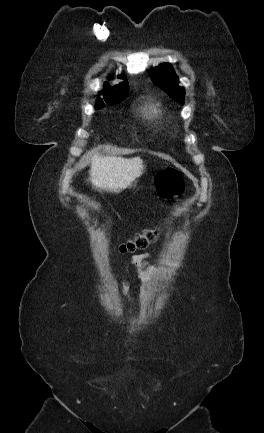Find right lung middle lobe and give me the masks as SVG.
Listing matches in <instances>:
<instances>
[{
  "mask_svg": "<svg viewBox=\"0 0 264 433\" xmlns=\"http://www.w3.org/2000/svg\"><path fill=\"white\" fill-rule=\"evenodd\" d=\"M124 98L121 99H117V100H113V101H106V104L111 105V104H117L119 102H121ZM105 104L103 101H98L97 105H96V109H101L102 107H104Z\"/></svg>",
  "mask_w": 264,
  "mask_h": 433,
  "instance_id": "dd1d6c3e",
  "label": "right lung middle lobe"
}]
</instances>
